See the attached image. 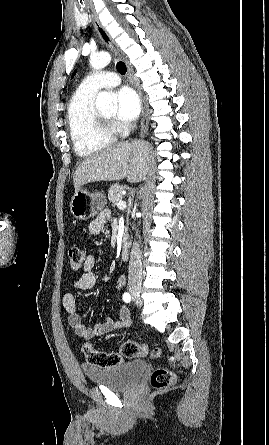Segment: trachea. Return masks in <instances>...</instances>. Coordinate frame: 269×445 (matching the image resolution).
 Here are the masks:
<instances>
[{
  "label": "trachea",
  "mask_w": 269,
  "mask_h": 445,
  "mask_svg": "<svg viewBox=\"0 0 269 445\" xmlns=\"http://www.w3.org/2000/svg\"><path fill=\"white\" fill-rule=\"evenodd\" d=\"M116 67H117V71L122 75H124L127 71L126 65L122 61H118Z\"/></svg>",
  "instance_id": "trachea-1"
}]
</instances>
